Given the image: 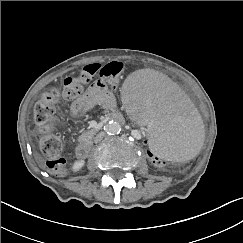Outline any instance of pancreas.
<instances>
[{"mask_svg":"<svg viewBox=\"0 0 243 243\" xmlns=\"http://www.w3.org/2000/svg\"><path fill=\"white\" fill-rule=\"evenodd\" d=\"M95 133H96V130L92 129V130H90V131H88V132L83 133V134L79 137L78 140H79L80 142L87 141V140H91L92 137L95 135Z\"/></svg>","mask_w":243,"mask_h":243,"instance_id":"cf45deb5","label":"pancreas"}]
</instances>
